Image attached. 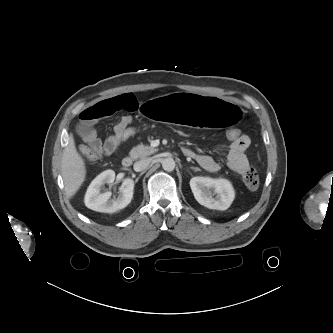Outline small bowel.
I'll return each instance as SVG.
<instances>
[{"label":"small bowel","mask_w":333,"mask_h":333,"mask_svg":"<svg viewBox=\"0 0 333 333\" xmlns=\"http://www.w3.org/2000/svg\"><path fill=\"white\" fill-rule=\"evenodd\" d=\"M138 109V101L132 94H122L101 100L92 106L86 107L79 113V119L83 126L81 128V137L85 145L81 149H92L101 155H111L115 153L121 140L117 135V130L127 124H131L133 117L125 115L120 118L115 125L114 134L105 142H102L92 130V126L100 119L113 115L119 111L135 112ZM250 146V139L246 135H242L240 139L232 141L228 156V167L238 174H244L249 167V161L246 151ZM190 150V149H189ZM191 151V150H190ZM191 156L206 171L217 172L220 165L209 155L197 154L191 151Z\"/></svg>","instance_id":"obj_1"}]
</instances>
